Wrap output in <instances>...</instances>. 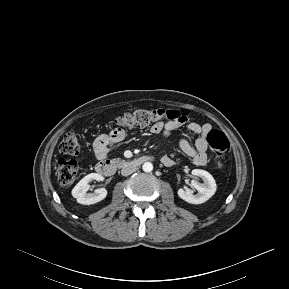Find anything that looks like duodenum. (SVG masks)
I'll return each instance as SVG.
<instances>
[{"label": "duodenum", "instance_id": "410a0bca", "mask_svg": "<svg viewBox=\"0 0 289 289\" xmlns=\"http://www.w3.org/2000/svg\"><path fill=\"white\" fill-rule=\"evenodd\" d=\"M151 160H153V157L147 155L139 156L128 161H117V162L111 161L109 159H102L96 164L95 169L99 174L109 177L114 175L116 171L120 168L139 167L142 164L149 162Z\"/></svg>", "mask_w": 289, "mask_h": 289}]
</instances>
